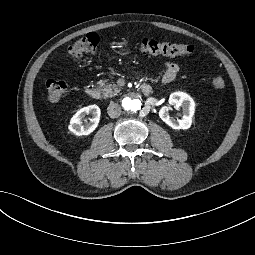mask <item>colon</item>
<instances>
[{"instance_id": "1", "label": "colon", "mask_w": 255, "mask_h": 255, "mask_svg": "<svg viewBox=\"0 0 255 255\" xmlns=\"http://www.w3.org/2000/svg\"><path fill=\"white\" fill-rule=\"evenodd\" d=\"M99 44V37L96 33H88L68 47L66 55L72 59H79L84 54H94ZM140 50L149 55L179 56L190 55L194 47L188 44H176L161 42L152 39H143L140 43ZM212 86L221 90L225 86L222 78H215ZM67 91V85L61 80H48L46 82L47 99L50 103H57Z\"/></svg>"}]
</instances>
